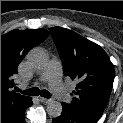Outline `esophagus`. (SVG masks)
Segmentation results:
<instances>
[{
	"label": "esophagus",
	"instance_id": "1",
	"mask_svg": "<svg viewBox=\"0 0 123 123\" xmlns=\"http://www.w3.org/2000/svg\"><path fill=\"white\" fill-rule=\"evenodd\" d=\"M39 101L42 102V103H49V102H51V99L40 97Z\"/></svg>",
	"mask_w": 123,
	"mask_h": 123
}]
</instances>
